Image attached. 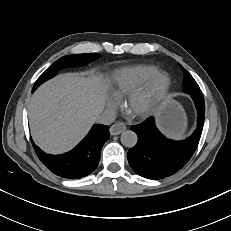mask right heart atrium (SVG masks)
I'll return each instance as SVG.
<instances>
[{
  "mask_svg": "<svg viewBox=\"0 0 231 231\" xmlns=\"http://www.w3.org/2000/svg\"><path fill=\"white\" fill-rule=\"evenodd\" d=\"M117 104H118V99L115 98V97H112L108 101V108L111 109V110H113V109L116 108Z\"/></svg>",
  "mask_w": 231,
  "mask_h": 231,
  "instance_id": "d8ad5b80",
  "label": "right heart atrium"
}]
</instances>
